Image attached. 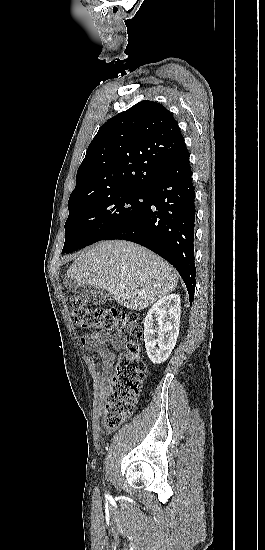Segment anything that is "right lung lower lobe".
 I'll list each match as a JSON object with an SVG mask.
<instances>
[{"label":"right lung lower lobe","mask_w":265,"mask_h":550,"mask_svg":"<svg viewBox=\"0 0 265 550\" xmlns=\"http://www.w3.org/2000/svg\"><path fill=\"white\" fill-rule=\"evenodd\" d=\"M148 192L145 209L104 240L132 241L166 259L184 280L192 303L196 284L195 197L188 150L153 180Z\"/></svg>","instance_id":"right-lung-lower-lobe-1"}]
</instances>
